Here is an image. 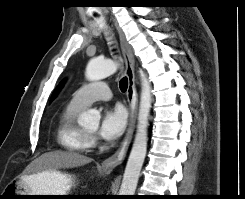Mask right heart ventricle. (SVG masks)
Returning <instances> with one entry per match:
<instances>
[{
    "label": "right heart ventricle",
    "instance_id": "obj_1",
    "mask_svg": "<svg viewBox=\"0 0 245 199\" xmlns=\"http://www.w3.org/2000/svg\"><path fill=\"white\" fill-rule=\"evenodd\" d=\"M82 110V108L69 103L63 109L58 120V141L70 153H84L91 148L90 137L76 122L77 116Z\"/></svg>",
    "mask_w": 245,
    "mask_h": 199
}]
</instances>
